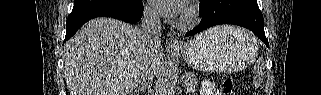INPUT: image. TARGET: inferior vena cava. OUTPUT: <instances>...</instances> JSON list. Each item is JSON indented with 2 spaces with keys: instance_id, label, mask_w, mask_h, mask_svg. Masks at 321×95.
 I'll return each mask as SVG.
<instances>
[{
  "instance_id": "inferior-vena-cava-1",
  "label": "inferior vena cava",
  "mask_w": 321,
  "mask_h": 95,
  "mask_svg": "<svg viewBox=\"0 0 321 95\" xmlns=\"http://www.w3.org/2000/svg\"><path fill=\"white\" fill-rule=\"evenodd\" d=\"M161 29L158 13L151 8L146 7L143 13L140 33L142 41L148 49L149 60L143 67L139 78V82L145 89L151 87L155 75V68L152 64V60L155 57L157 48L161 45Z\"/></svg>"
}]
</instances>
